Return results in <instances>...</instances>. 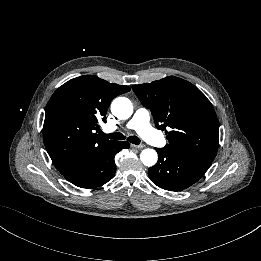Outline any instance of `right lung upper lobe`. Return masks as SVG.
Listing matches in <instances>:
<instances>
[{
    "label": "right lung upper lobe",
    "instance_id": "cb5924a9",
    "mask_svg": "<svg viewBox=\"0 0 261 261\" xmlns=\"http://www.w3.org/2000/svg\"><path fill=\"white\" fill-rule=\"evenodd\" d=\"M128 91L93 75L71 79L55 91L46 107L43 141L60 173L119 143L96 132L112 99Z\"/></svg>",
    "mask_w": 261,
    "mask_h": 261
}]
</instances>
